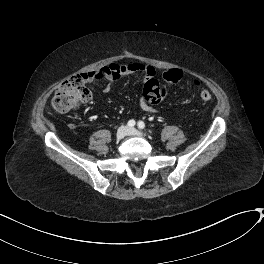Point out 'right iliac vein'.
<instances>
[{"label": "right iliac vein", "instance_id": "63e3f726", "mask_svg": "<svg viewBox=\"0 0 264 264\" xmlns=\"http://www.w3.org/2000/svg\"><path fill=\"white\" fill-rule=\"evenodd\" d=\"M129 132V129L125 126H121L116 134L117 140L123 139Z\"/></svg>", "mask_w": 264, "mask_h": 264}]
</instances>
